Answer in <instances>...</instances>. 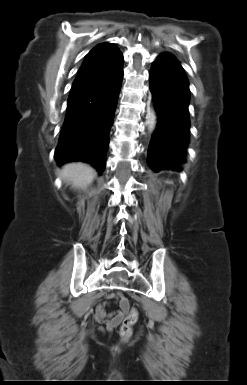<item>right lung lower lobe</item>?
<instances>
[{"label": "right lung lower lobe", "instance_id": "98d812e1", "mask_svg": "<svg viewBox=\"0 0 247 385\" xmlns=\"http://www.w3.org/2000/svg\"><path fill=\"white\" fill-rule=\"evenodd\" d=\"M122 79L123 62L112 70L73 83L55 151L59 165L84 161L103 172Z\"/></svg>", "mask_w": 247, "mask_h": 385}]
</instances>
